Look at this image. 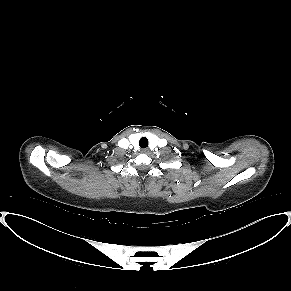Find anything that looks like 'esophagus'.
<instances>
[{"label": "esophagus", "instance_id": "34e87169", "mask_svg": "<svg viewBox=\"0 0 291 291\" xmlns=\"http://www.w3.org/2000/svg\"><path fill=\"white\" fill-rule=\"evenodd\" d=\"M142 153H144V154H148V153H149V149H148V148H144V149H142Z\"/></svg>", "mask_w": 291, "mask_h": 291}]
</instances>
